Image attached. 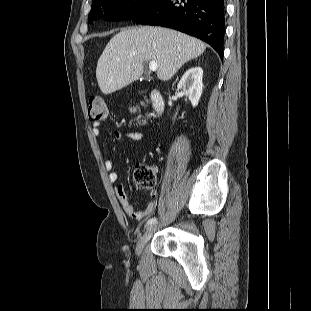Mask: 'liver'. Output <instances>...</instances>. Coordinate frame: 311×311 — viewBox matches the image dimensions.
Instances as JSON below:
<instances>
[{
    "label": "liver",
    "mask_w": 311,
    "mask_h": 311,
    "mask_svg": "<svg viewBox=\"0 0 311 311\" xmlns=\"http://www.w3.org/2000/svg\"><path fill=\"white\" fill-rule=\"evenodd\" d=\"M205 49L206 45L199 39L168 28L123 29L111 38L98 60L99 88L107 95L138 80L145 61L156 62L157 77L167 81Z\"/></svg>",
    "instance_id": "6515ba94"
}]
</instances>
